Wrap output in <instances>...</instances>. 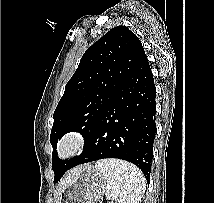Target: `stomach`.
<instances>
[{"instance_id": "stomach-1", "label": "stomach", "mask_w": 214, "mask_h": 203, "mask_svg": "<svg viewBox=\"0 0 214 203\" xmlns=\"http://www.w3.org/2000/svg\"><path fill=\"white\" fill-rule=\"evenodd\" d=\"M108 179L90 164L78 171L73 181L63 188L57 203H97L107 190Z\"/></svg>"}]
</instances>
